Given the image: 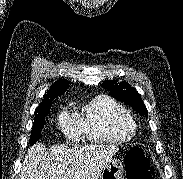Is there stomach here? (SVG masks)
<instances>
[{
    "label": "stomach",
    "mask_w": 183,
    "mask_h": 179,
    "mask_svg": "<svg viewBox=\"0 0 183 179\" xmlns=\"http://www.w3.org/2000/svg\"><path fill=\"white\" fill-rule=\"evenodd\" d=\"M98 179H124L122 163L117 159H111L105 165Z\"/></svg>",
    "instance_id": "obj_1"
}]
</instances>
